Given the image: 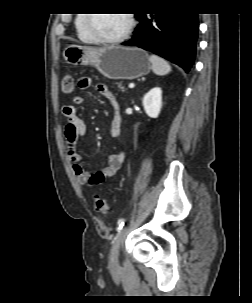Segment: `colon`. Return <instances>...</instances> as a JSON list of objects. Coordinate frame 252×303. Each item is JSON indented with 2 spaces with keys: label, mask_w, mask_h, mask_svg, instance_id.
<instances>
[{
  "label": "colon",
  "mask_w": 252,
  "mask_h": 303,
  "mask_svg": "<svg viewBox=\"0 0 252 303\" xmlns=\"http://www.w3.org/2000/svg\"><path fill=\"white\" fill-rule=\"evenodd\" d=\"M74 87H75L74 77L70 74L64 75L61 80L62 93L65 95H69L73 92ZM94 207H95V210L103 216H107L111 211V207H110L108 201L102 197L95 198Z\"/></svg>",
  "instance_id": "colon-1"
}]
</instances>
